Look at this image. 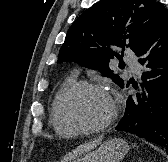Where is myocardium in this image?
<instances>
[{
  "mask_svg": "<svg viewBox=\"0 0 168 162\" xmlns=\"http://www.w3.org/2000/svg\"><path fill=\"white\" fill-rule=\"evenodd\" d=\"M85 90L102 92L111 99L113 104L112 113L105 122L98 125H86L69 113L68 104L70 99L77 93ZM117 111H118L117 105L110 96V94L107 92V90L104 87L91 82H78L69 87L61 96L58 105V112L61 119L71 128L77 130L78 132H85V133L102 132L110 128L117 117Z\"/></svg>",
  "mask_w": 168,
  "mask_h": 162,
  "instance_id": "myocardium-1",
  "label": "myocardium"
}]
</instances>
